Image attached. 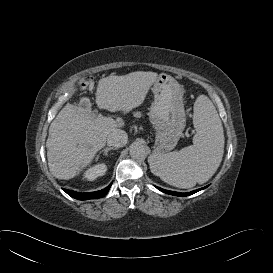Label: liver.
Listing matches in <instances>:
<instances>
[{"mask_svg": "<svg viewBox=\"0 0 273 273\" xmlns=\"http://www.w3.org/2000/svg\"><path fill=\"white\" fill-rule=\"evenodd\" d=\"M157 77L155 72L137 71L102 78L96 104L100 109L128 113L144 102ZM122 125L121 118L92 116L90 105L66 104L51 123L46 142L52 175L64 180L78 175L105 146L108 134Z\"/></svg>", "mask_w": 273, "mask_h": 273, "instance_id": "6515ba94", "label": "liver"}]
</instances>
